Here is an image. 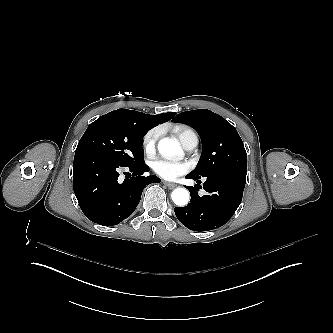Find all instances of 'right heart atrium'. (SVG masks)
<instances>
[{
    "label": "right heart atrium",
    "mask_w": 333,
    "mask_h": 333,
    "mask_svg": "<svg viewBox=\"0 0 333 333\" xmlns=\"http://www.w3.org/2000/svg\"><path fill=\"white\" fill-rule=\"evenodd\" d=\"M157 143V134L155 132H149L143 139V148L145 152L150 155L155 152Z\"/></svg>",
    "instance_id": "d8ad5b80"
}]
</instances>
